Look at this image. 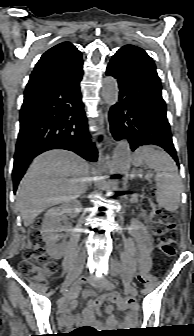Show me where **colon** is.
I'll use <instances>...</instances> for the list:
<instances>
[{
	"label": "colon",
	"instance_id": "1",
	"mask_svg": "<svg viewBox=\"0 0 194 336\" xmlns=\"http://www.w3.org/2000/svg\"><path fill=\"white\" fill-rule=\"evenodd\" d=\"M155 224L152 232L157 239V249L154 252V260L158 262L163 258L173 257L176 253L175 242V218L170 212L156 208L154 210ZM41 222H36L28 234V245L23 259L19 262L18 269L20 274L31 282L45 285L47 280L53 276L58 269L55 262L48 261L45 254V246L40 232ZM144 283L152 281L151 277H146ZM133 300L127 298L120 302L121 306L131 304ZM82 329L80 331H86Z\"/></svg>",
	"mask_w": 194,
	"mask_h": 336
}]
</instances>
